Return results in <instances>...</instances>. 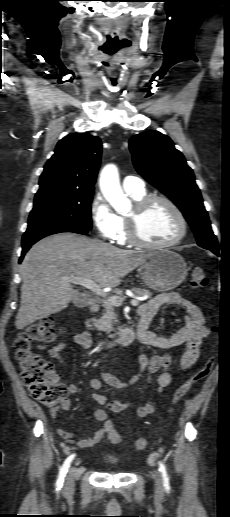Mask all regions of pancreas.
<instances>
[{
    "label": "pancreas",
    "mask_w": 230,
    "mask_h": 517,
    "mask_svg": "<svg viewBox=\"0 0 230 517\" xmlns=\"http://www.w3.org/2000/svg\"><path fill=\"white\" fill-rule=\"evenodd\" d=\"M131 291L138 296H147L148 298L152 296V292L147 289L131 288ZM118 297L122 298V294H119ZM102 307L104 308L103 314L100 319L96 321L95 326L99 331L106 332L109 337L112 338L120 331V328H118V331L113 328V325L118 323L115 308L114 305L108 301H102ZM111 332L116 333L111 334Z\"/></svg>",
    "instance_id": "obj_1"
}]
</instances>
